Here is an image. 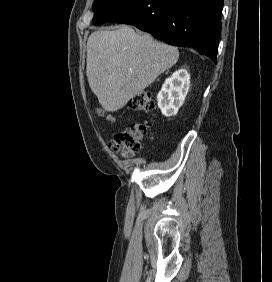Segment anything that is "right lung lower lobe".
I'll return each mask as SVG.
<instances>
[{"label":"right lung lower lobe","instance_id":"right-lung-lower-lobe-1","mask_svg":"<svg viewBox=\"0 0 272 282\" xmlns=\"http://www.w3.org/2000/svg\"><path fill=\"white\" fill-rule=\"evenodd\" d=\"M223 0H136L108 22L133 25L174 46H191L216 63Z\"/></svg>","mask_w":272,"mask_h":282}]
</instances>
